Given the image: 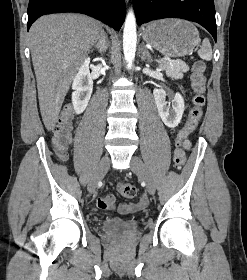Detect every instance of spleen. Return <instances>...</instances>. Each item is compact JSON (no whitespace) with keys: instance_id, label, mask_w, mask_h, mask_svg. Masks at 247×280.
I'll return each mask as SVG.
<instances>
[{"instance_id":"spleen-1","label":"spleen","mask_w":247,"mask_h":280,"mask_svg":"<svg viewBox=\"0 0 247 280\" xmlns=\"http://www.w3.org/2000/svg\"><path fill=\"white\" fill-rule=\"evenodd\" d=\"M198 56L206 61L212 59V47L208 39H204L201 48L198 51Z\"/></svg>"}]
</instances>
